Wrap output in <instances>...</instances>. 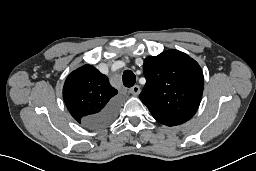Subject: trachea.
Returning a JSON list of instances; mask_svg holds the SVG:
<instances>
[{
  "mask_svg": "<svg viewBox=\"0 0 256 171\" xmlns=\"http://www.w3.org/2000/svg\"><path fill=\"white\" fill-rule=\"evenodd\" d=\"M122 79L125 87H132L136 82V76L131 70H125Z\"/></svg>",
  "mask_w": 256,
  "mask_h": 171,
  "instance_id": "obj_1",
  "label": "trachea"
}]
</instances>
